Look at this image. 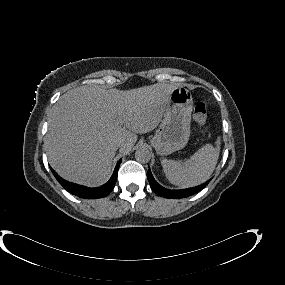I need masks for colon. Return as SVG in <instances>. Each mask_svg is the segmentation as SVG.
Returning a JSON list of instances; mask_svg holds the SVG:
<instances>
[{"mask_svg":"<svg viewBox=\"0 0 285 285\" xmlns=\"http://www.w3.org/2000/svg\"><path fill=\"white\" fill-rule=\"evenodd\" d=\"M193 118L201 128L207 124V108L203 102H197L193 108Z\"/></svg>","mask_w":285,"mask_h":285,"instance_id":"colon-1","label":"colon"}]
</instances>
